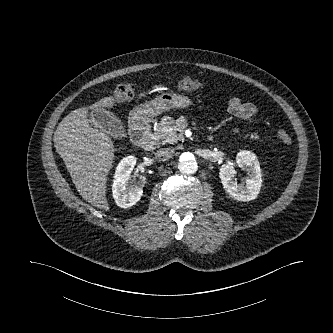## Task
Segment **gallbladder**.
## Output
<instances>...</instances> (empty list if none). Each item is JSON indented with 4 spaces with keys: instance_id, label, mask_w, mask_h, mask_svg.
Returning a JSON list of instances; mask_svg holds the SVG:
<instances>
[{
    "instance_id": "gallbladder-1",
    "label": "gallbladder",
    "mask_w": 333,
    "mask_h": 333,
    "mask_svg": "<svg viewBox=\"0 0 333 333\" xmlns=\"http://www.w3.org/2000/svg\"><path fill=\"white\" fill-rule=\"evenodd\" d=\"M92 124L99 131L113 138L125 137V128L122 122L111 112L96 108L91 114Z\"/></svg>"
}]
</instances>
